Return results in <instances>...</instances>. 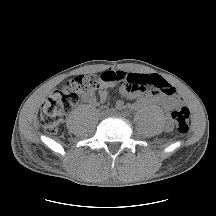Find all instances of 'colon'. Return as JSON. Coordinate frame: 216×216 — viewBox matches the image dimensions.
I'll return each instance as SVG.
<instances>
[{
	"label": "colon",
	"instance_id": "obj_1",
	"mask_svg": "<svg viewBox=\"0 0 216 216\" xmlns=\"http://www.w3.org/2000/svg\"><path fill=\"white\" fill-rule=\"evenodd\" d=\"M115 78L116 77H110L108 81H115ZM107 82H103L100 77L92 75H80L67 81L44 102L40 113L42 126L50 132H56L63 117L68 114L80 100L92 97L97 91L101 90ZM160 83L157 84V89ZM168 85L171 86L170 84ZM169 115L176 126L179 136H186L189 131V109L185 105L179 104L170 110Z\"/></svg>",
	"mask_w": 216,
	"mask_h": 216
}]
</instances>
